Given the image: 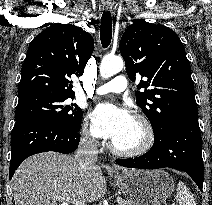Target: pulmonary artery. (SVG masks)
<instances>
[{"instance_id": "obj_1", "label": "pulmonary artery", "mask_w": 212, "mask_h": 205, "mask_svg": "<svg viewBox=\"0 0 212 205\" xmlns=\"http://www.w3.org/2000/svg\"><path fill=\"white\" fill-rule=\"evenodd\" d=\"M127 88V80L124 76L119 75L113 78L111 81L99 86L96 89V93L100 95L108 93H120Z\"/></svg>"}]
</instances>
